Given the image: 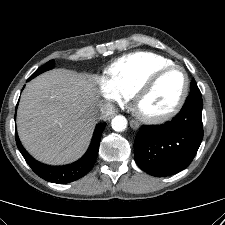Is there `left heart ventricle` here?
I'll return each instance as SVG.
<instances>
[{"instance_id": "1", "label": "left heart ventricle", "mask_w": 225, "mask_h": 225, "mask_svg": "<svg viewBox=\"0 0 225 225\" xmlns=\"http://www.w3.org/2000/svg\"><path fill=\"white\" fill-rule=\"evenodd\" d=\"M183 85L180 71L164 75L155 87L143 98L140 109L146 114H160L171 108L176 102Z\"/></svg>"}]
</instances>
